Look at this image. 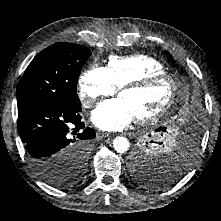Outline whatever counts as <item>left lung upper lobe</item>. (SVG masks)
I'll return each instance as SVG.
<instances>
[{"instance_id": "5c2ea615", "label": "left lung upper lobe", "mask_w": 221, "mask_h": 221, "mask_svg": "<svg viewBox=\"0 0 221 221\" xmlns=\"http://www.w3.org/2000/svg\"><path fill=\"white\" fill-rule=\"evenodd\" d=\"M166 54L171 58L169 52L166 51ZM166 160L171 163V159L166 157L151 156L147 155L143 150H136L131 156L133 177L148 187L161 188L167 186L172 176V171H170V175V168L166 167L168 166ZM169 166L172 167V163Z\"/></svg>"}]
</instances>
